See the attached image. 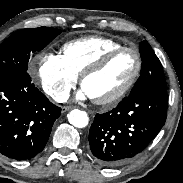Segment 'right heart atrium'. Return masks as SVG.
<instances>
[{"label": "right heart atrium", "instance_id": "right-heart-atrium-1", "mask_svg": "<svg viewBox=\"0 0 183 183\" xmlns=\"http://www.w3.org/2000/svg\"><path fill=\"white\" fill-rule=\"evenodd\" d=\"M37 74L44 92L52 99L64 101L78 76L67 66L63 55L41 52L36 56Z\"/></svg>", "mask_w": 183, "mask_h": 183}]
</instances>
